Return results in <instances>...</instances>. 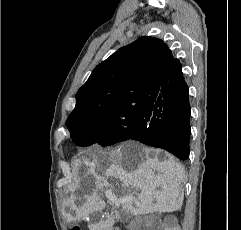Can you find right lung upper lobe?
Here are the masks:
<instances>
[{"mask_svg": "<svg viewBox=\"0 0 241 230\" xmlns=\"http://www.w3.org/2000/svg\"><path fill=\"white\" fill-rule=\"evenodd\" d=\"M160 39L140 37L96 66L76 94L66 121L72 129L82 121L105 120L116 108L145 105L158 95L162 78L175 62Z\"/></svg>", "mask_w": 241, "mask_h": 230, "instance_id": "cb5924a9", "label": "right lung upper lobe"}]
</instances>
